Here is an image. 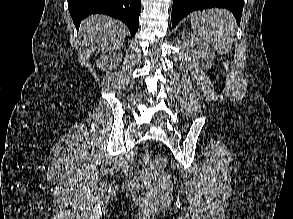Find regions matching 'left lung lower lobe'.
<instances>
[{"mask_svg":"<svg viewBox=\"0 0 293 219\" xmlns=\"http://www.w3.org/2000/svg\"><path fill=\"white\" fill-rule=\"evenodd\" d=\"M212 7L230 10L239 24L243 11V0H173L172 26L175 27L190 12Z\"/></svg>","mask_w":293,"mask_h":219,"instance_id":"0a47b994","label":"left lung lower lobe"}]
</instances>
